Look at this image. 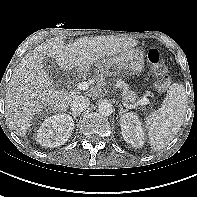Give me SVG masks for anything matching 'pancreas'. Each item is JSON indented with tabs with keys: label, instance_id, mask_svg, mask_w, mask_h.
<instances>
[{
	"label": "pancreas",
	"instance_id": "obj_1",
	"mask_svg": "<svg viewBox=\"0 0 197 197\" xmlns=\"http://www.w3.org/2000/svg\"><path fill=\"white\" fill-rule=\"evenodd\" d=\"M103 80H104V78L102 75L98 74L95 76V81L97 82L98 85H101ZM116 86L121 89L122 97L126 102L134 103L136 101L137 95L135 94V92L130 90L129 85L126 84L123 80L117 79Z\"/></svg>",
	"mask_w": 197,
	"mask_h": 197
}]
</instances>
